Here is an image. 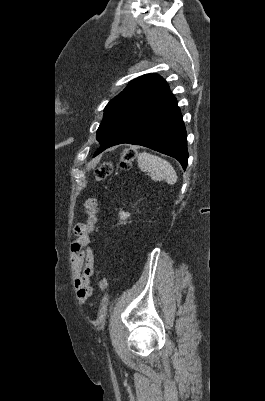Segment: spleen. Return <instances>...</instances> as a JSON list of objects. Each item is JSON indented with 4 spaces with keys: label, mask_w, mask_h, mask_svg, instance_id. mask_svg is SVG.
Listing matches in <instances>:
<instances>
[{
    "label": "spleen",
    "mask_w": 265,
    "mask_h": 401,
    "mask_svg": "<svg viewBox=\"0 0 265 401\" xmlns=\"http://www.w3.org/2000/svg\"><path fill=\"white\" fill-rule=\"evenodd\" d=\"M137 160L139 168L143 172H150L152 180H166L168 184H175L177 174L170 162L164 158L149 152H139Z\"/></svg>",
    "instance_id": "spleen-1"
}]
</instances>
